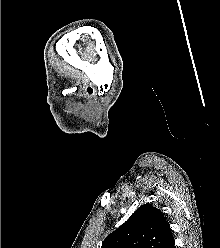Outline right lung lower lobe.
<instances>
[{"label": "right lung lower lobe", "mask_w": 220, "mask_h": 248, "mask_svg": "<svg viewBox=\"0 0 220 248\" xmlns=\"http://www.w3.org/2000/svg\"><path fill=\"white\" fill-rule=\"evenodd\" d=\"M163 248H176L174 245L173 237H172V239L169 240V242Z\"/></svg>", "instance_id": "1"}]
</instances>
